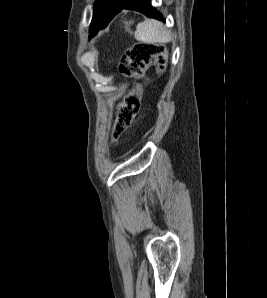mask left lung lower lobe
<instances>
[{
	"label": "left lung lower lobe",
	"mask_w": 267,
	"mask_h": 298,
	"mask_svg": "<svg viewBox=\"0 0 267 298\" xmlns=\"http://www.w3.org/2000/svg\"><path fill=\"white\" fill-rule=\"evenodd\" d=\"M123 9L139 11L147 17L158 20H161L162 17L160 13L151 7L150 0H120L101 10L98 14L93 15L89 29L90 36L95 35L100 29L105 28L113 17Z\"/></svg>",
	"instance_id": "1"
}]
</instances>
